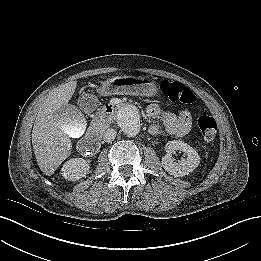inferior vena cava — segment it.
Masks as SVG:
<instances>
[{
    "instance_id": "inferior-vena-cava-1",
    "label": "inferior vena cava",
    "mask_w": 261,
    "mask_h": 261,
    "mask_svg": "<svg viewBox=\"0 0 261 261\" xmlns=\"http://www.w3.org/2000/svg\"><path fill=\"white\" fill-rule=\"evenodd\" d=\"M116 134H117V131L115 129H112V128L107 129L105 131V133L103 134V140L105 142H111L112 140L115 139Z\"/></svg>"
}]
</instances>
